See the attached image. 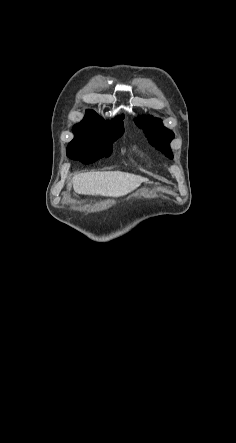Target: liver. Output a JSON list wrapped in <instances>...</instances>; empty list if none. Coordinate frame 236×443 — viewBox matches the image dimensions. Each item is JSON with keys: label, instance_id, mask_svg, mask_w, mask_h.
Listing matches in <instances>:
<instances>
[{"label": "liver", "instance_id": "1", "mask_svg": "<svg viewBox=\"0 0 236 443\" xmlns=\"http://www.w3.org/2000/svg\"><path fill=\"white\" fill-rule=\"evenodd\" d=\"M145 181L146 178L138 175L106 171L78 174L73 177L72 184L77 194L120 197L132 192Z\"/></svg>", "mask_w": 236, "mask_h": 443}]
</instances>
